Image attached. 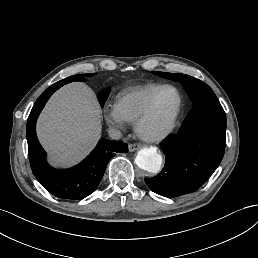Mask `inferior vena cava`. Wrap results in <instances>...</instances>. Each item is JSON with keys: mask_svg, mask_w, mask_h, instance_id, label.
<instances>
[{"mask_svg": "<svg viewBox=\"0 0 258 258\" xmlns=\"http://www.w3.org/2000/svg\"><path fill=\"white\" fill-rule=\"evenodd\" d=\"M108 134H109L110 138L115 139V140H118L122 137L121 131L116 128H110L108 130Z\"/></svg>", "mask_w": 258, "mask_h": 258, "instance_id": "1", "label": "inferior vena cava"}]
</instances>
